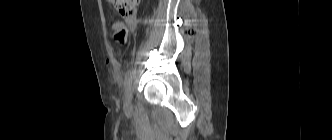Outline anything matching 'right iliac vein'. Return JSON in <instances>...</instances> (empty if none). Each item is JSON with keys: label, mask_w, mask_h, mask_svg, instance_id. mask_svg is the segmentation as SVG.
I'll list each match as a JSON object with an SVG mask.
<instances>
[{"label": "right iliac vein", "mask_w": 332, "mask_h": 140, "mask_svg": "<svg viewBox=\"0 0 332 140\" xmlns=\"http://www.w3.org/2000/svg\"><path fill=\"white\" fill-rule=\"evenodd\" d=\"M131 98H132V91L131 88L129 87L124 96V104H123L124 110L126 112L131 110Z\"/></svg>", "instance_id": "63e3f726"}]
</instances>
